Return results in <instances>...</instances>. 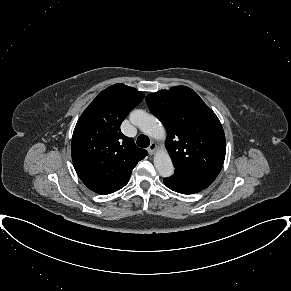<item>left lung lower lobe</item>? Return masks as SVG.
<instances>
[{
  "instance_id": "left-lung-lower-lobe-1",
  "label": "left lung lower lobe",
  "mask_w": 291,
  "mask_h": 291,
  "mask_svg": "<svg viewBox=\"0 0 291 291\" xmlns=\"http://www.w3.org/2000/svg\"><path fill=\"white\" fill-rule=\"evenodd\" d=\"M216 177L175 170L174 175L164 178V184L181 194H194L207 188Z\"/></svg>"
}]
</instances>
